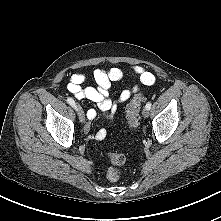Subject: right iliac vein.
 Returning <instances> with one entry per match:
<instances>
[{"mask_svg":"<svg viewBox=\"0 0 221 221\" xmlns=\"http://www.w3.org/2000/svg\"><path fill=\"white\" fill-rule=\"evenodd\" d=\"M76 109H77L79 120L81 122H84L85 121V115H84V111H83L82 107L80 105H77Z\"/></svg>","mask_w":221,"mask_h":221,"instance_id":"right-iliac-vein-1","label":"right iliac vein"}]
</instances>
